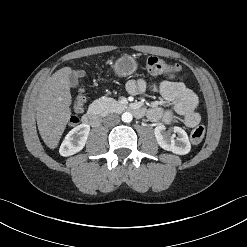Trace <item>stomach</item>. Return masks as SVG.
Segmentation results:
<instances>
[{"label":"stomach","mask_w":247,"mask_h":247,"mask_svg":"<svg viewBox=\"0 0 247 247\" xmlns=\"http://www.w3.org/2000/svg\"><path fill=\"white\" fill-rule=\"evenodd\" d=\"M113 69L119 77H127L137 70V63L131 57H122L115 61Z\"/></svg>","instance_id":"stomach-1"}]
</instances>
